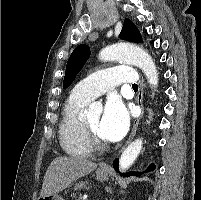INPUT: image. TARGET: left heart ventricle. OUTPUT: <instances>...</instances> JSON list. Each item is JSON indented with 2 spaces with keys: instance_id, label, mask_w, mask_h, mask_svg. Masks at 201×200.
<instances>
[{
  "instance_id": "b2bd125f",
  "label": "left heart ventricle",
  "mask_w": 201,
  "mask_h": 200,
  "mask_svg": "<svg viewBox=\"0 0 201 200\" xmlns=\"http://www.w3.org/2000/svg\"><path fill=\"white\" fill-rule=\"evenodd\" d=\"M101 119V115H97L87 119L85 122L101 140H104L100 135Z\"/></svg>"
}]
</instances>
